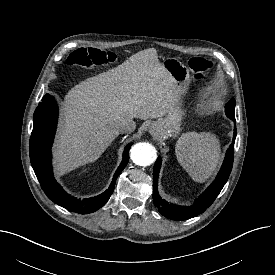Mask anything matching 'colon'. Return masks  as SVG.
Returning <instances> with one entry per match:
<instances>
[{"instance_id": "colon-1", "label": "colon", "mask_w": 275, "mask_h": 275, "mask_svg": "<svg viewBox=\"0 0 275 275\" xmlns=\"http://www.w3.org/2000/svg\"><path fill=\"white\" fill-rule=\"evenodd\" d=\"M115 60L116 55L113 52L98 48H81L75 50L69 55L67 63L74 67L92 68L112 63ZM189 67L195 80L201 81L212 69V63L205 58L195 56L190 58Z\"/></svg>"}]
</instances>
